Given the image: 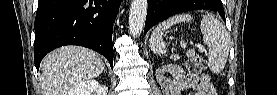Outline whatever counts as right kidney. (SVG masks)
I'll return each instance as SVG.
<instances>
[{"label": "right kidney", "mask_w": 277, "mask_h": 95, "mask_svg": "<svg viewBox=\"0 0 277 95\" xmlns=\"http://www.w3.org/2000/svg\"><path fill=\"white\" fill-rule=\"evenodd\" d=\"M107 91V87L100 85L96 80H86L77 84L68 94L91 95V93L97 92L99 95H106Z\"/></svg>", "instance_id": "right-kidney-1"}]
</instances>
